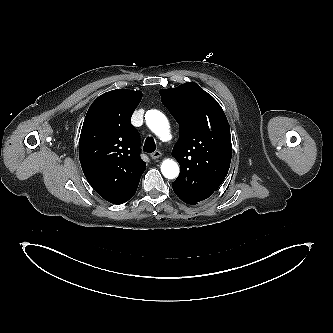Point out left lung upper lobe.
I'll return each mask as SVG.
<instances>
[{
  "label": "left lung upper lobe",
  "mask_w": 333,
  "mask_h": 333,
  "mask_svg": "<svg viewBox=\"0 0 333 333\" xmlns=\"http://www.w3.org/2000/svg\"><path fill=\"white\" fill-rule=\"evenodd\" d=\"M160 95L180 128L172 155L181 170L173 190L198 202L205 200L218 190L230 167L227 118L218 102L196 83L161 89Z\"/></svg>",
  "instance_id": "left-lung-upper-lobe-1"
}]
</instances>
